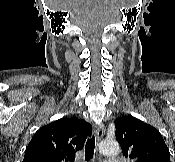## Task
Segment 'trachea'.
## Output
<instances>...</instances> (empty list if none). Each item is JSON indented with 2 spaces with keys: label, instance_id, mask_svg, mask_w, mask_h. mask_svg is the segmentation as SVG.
<instances>
[{
  "label": "trachea",
  "instance_id": "3493384b",
  "mask_svg": "<svg viewBox=\"0 0 175 162\" xmlns=\"http://www.w3.org/2000/svg\"><path fill=\"white\" fill-rule=\"evenodd\" d=\"M94 149H95V137L92 136L87 140L85 145V161H89L93 158Z\"/></svg>",
  "mask_w": 175,
  "mask_h": 162
}]
</instances>
